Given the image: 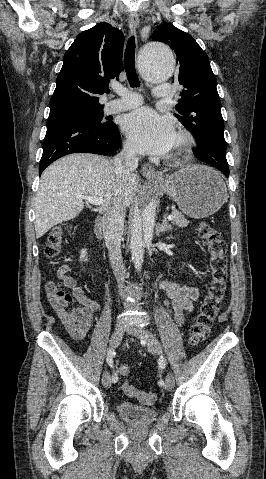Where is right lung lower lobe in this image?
<instances>
[{
  "instance_id": "98d812e1",
  "label": "right lung lower lobe",
  "mask_w": 266,
  "mask_h": 479,
  "mask_svg": "<svg viewBox=\"0 0 266 479\" xmlns=\"http://www.w3.org/2000/svg\"><path fill=\"white\" fill-rule=\"evenodd\" d=\"M120 143V133L112 121L105 126H96L75 118L49 117L42 143L39 175L48 165L67 154L84 152L109 155L120 147Z\"/></svg>"
}]
</instances>
